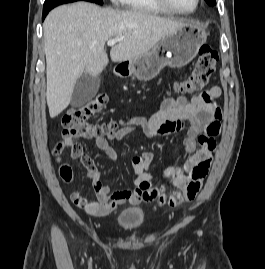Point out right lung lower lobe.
<instances>
[{"instance_id": "obj_1", "label": "right lung lower lobe", "mask_w": 265, "mask_h": 269, "mask_svg": "<svg viewBox=\"0 0 265 269\" xmlns=\"http://www.w3.org/2000/svg\"><path fill=\"white\" fill-rule=\"evenodd\" d=\"M76 1H81V0H45L44 6H43L42 20L45 19L48 12L51 9H53L54 7L61 5V4L71 3V2H76ZM83 1H85V0H83Z\"/></svg>"}]
</instances>
